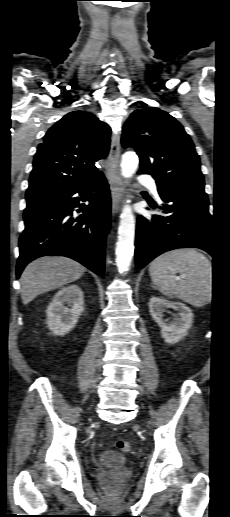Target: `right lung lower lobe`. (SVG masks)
Instances as JSON below:
<instances>
[{
  "mask_svg": "<svg viewBox=\"0 0 230 517\" xmlns=\"http://www.w3.org/2000/svg\"><path fill=\"white\" fill-rule=\"evenodd\" d=\"M26 200L17 278L29 262L51 255L72 258L103 276L111 209L110 191L103 174L76 187ZM74 208L82 214L75 216Z\"/></svg>",
  "mask_w": 230,
  "mask_h": 517,
  "instance_id": "98d812e1",
  "label": "right lung lower lobe"
}]
</instances>
